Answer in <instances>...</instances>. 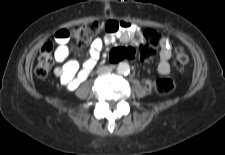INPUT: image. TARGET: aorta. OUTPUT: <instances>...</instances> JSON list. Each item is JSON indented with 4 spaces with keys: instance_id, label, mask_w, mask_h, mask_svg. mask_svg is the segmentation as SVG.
<instances>
[{
    "instance_id": "762f6f07",
    "label": "aorta",
    "mask_w": 225,
    "mask_h": 155,
    "mask_svg": "<svg viewBox=\"0 0 225 155\" xmlns=\"http://www.w3.org/2000/svg\"><path fill=\"white\" fill-rule=\"evenodd\" d=\"M117 72L121 75H127L130 72V66L126 62H121L117 66Z\"/></svg>"
}]
</instances>
